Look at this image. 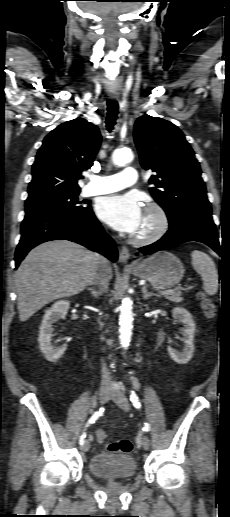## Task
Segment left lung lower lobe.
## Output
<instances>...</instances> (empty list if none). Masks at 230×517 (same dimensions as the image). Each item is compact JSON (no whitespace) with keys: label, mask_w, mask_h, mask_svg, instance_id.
<instances>
[{"label":"left lung lower lobe","mask_w":230,"mask_h":517,"mask_svg":"<svg viewBox=\"0 0 230 517\" xmlns=\"http://www.w3.org/2000/svg\"><path fill=\"white\" fill-rule=\"evenodd\" d=\"M188 241L205 243L219 255L222 254L216 226L211 215L192 216L181 221L178 225H169V230L160 240L151 245L139 248V252L144 255H149Z\"/></svg>","instance_id":"left-lung-lower-lobe-1"}]
</instances>
